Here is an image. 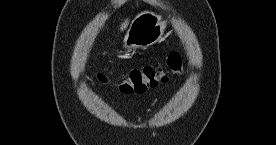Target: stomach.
Segmentation results:
<instances>
[{"label": "stomach", "mask_w": 276, "mask_h": 145, "mask_svg": "<svg viewBox=\"0 0 276 145\" xmlns=\"http://www.w3.org/2000/svg\"><path fill=\"white\" fill-rule=\"evenodd\" d=\"M167 23L152 11L138 14L132 21L123 40L126 48H146L159 42L165 32Z\"/></svg>", "instance_id": "1"}]
</instances>
